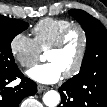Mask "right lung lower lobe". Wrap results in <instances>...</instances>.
I'll return each instance as SVG.
<instances>
[{"label":"right lung lower lobe","mask_w":107,"mask_h":107,"mask_svg":"<svg viewBox=\"0 0 107 107\" xmlns=\"http://www.w3.org/2000/svg\"><path fill=\"white\" fill-rule=\"evenodd\" d=\"M20 78L19 85L6 87L11 81ZM37 85L29 78H25L21 71L16 68L7 74L0 75V107H18L19 103L26 96L36 93Z\"/></svg>","instance_id":"1"}]
</instances>
